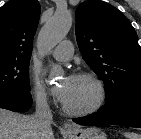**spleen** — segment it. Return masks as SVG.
<instances>
[{"label":"spleen","mask_w":141,"mask_h":139,"mask_svg":"<svg viewBox=\"0 0 141 139\" xmlns=\"http://www.w3.org/2000/svg\"><path fill=\"white\" fill-rule=\"evenodd\" d=\"M125 137L126 139H141V135L136 133H130V132H126Z\"/></svg>","instance_id":"3e777b00"}]
</instances>
